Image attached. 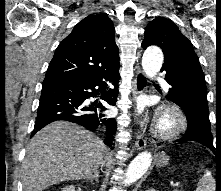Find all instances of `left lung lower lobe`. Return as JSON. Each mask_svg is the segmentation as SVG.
I'll use <instances>...</instances> for the list:
<instances>
[{"label": "left lung lower lobe", "mask_w": 221, "mask_h": 191, "mask_svg": "<svg viewBox=\"0 0 221 191\" xmlns=\"http://www.w3.org/2000/svg\"><path fill=\"white\" fill-rule=\"evenodd\" d=\"M165 80L171 86L168 99L182 108L188 122L186 133L177 141H197L210 125L207 90L200 63L191 62L179 72L166 71Z\"/></svg>", "instance_id": "1"}]
</instances>
